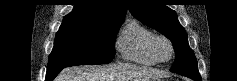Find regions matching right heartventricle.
Instances as JSON below:
<instances>
[{
	"mask_svg": "<svg viewBox=\"0 0 237 81\" xmlns=\"http://www.w3.org/2000/svg\"><path fill=\"white\" fill-rule=\"evenodd\" d=\"M154 35L139 22L131 21L120 32L116 48L124 60L143 66H154L158 63L151 52Z\"/></svg>",
	"mask_w": 237,
	"mask_h": 81,
	"instance_id": "obj_1",
	"label": "right heart ventricle"
}]
</instances>
